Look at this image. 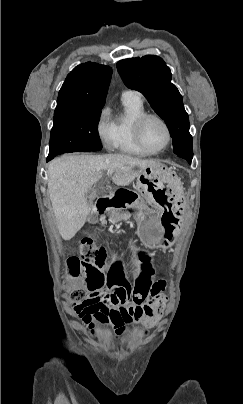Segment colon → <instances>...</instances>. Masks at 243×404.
<instances>
[{
	"mask_svg": "<svg viewBox=\"0 0 243 404\" xmlns=\"http://www.w3.org/2000/svg\"><path fill=\"white\" fill-rule=\"evenodd\" d=\"M80 256L72 257L69 260V273L73 282H88L95 274L104 273L106 251L96 247L91 241H83L80 245ZM99 286V283H96ZM144 293L135 292L132 295L134 303H141L144 300ZM71 298L81 302L85 298V291L80 288L71 289Z\"/></svg>",
	"mask_w": 243,
	"mask_h": 404,
	"instance_id": "5ec220e1",
	"label": "colon"
}]
</instances>
